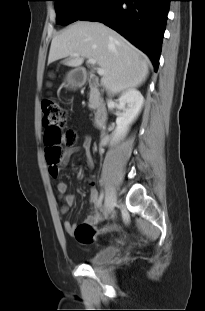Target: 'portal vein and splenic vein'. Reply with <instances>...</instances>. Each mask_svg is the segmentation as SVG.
Segmentation results:
<instances>
[{
  "instance_id": "obj_1",
  "label": "portal vein and splenic vein",
  "mask_w": 205,
  "mask_h": 311,
  "mask_svg": "<svg viewBox=\"0 0 205 311\" xmlns=\"http://www.w3.org/2000/svg\"><path fill=\"white\" fill-rule=\"evenodd\" d=\"M71 55H72L73 57H77V56H78L77 53H72ZM88 62H89L91 65H93V66L96 64V61H95L94 59H89ZM97 73H98L99 75H104V74H105V71H104L103 69H101V68H97Z\"/></svg>"
}]
</instances>
